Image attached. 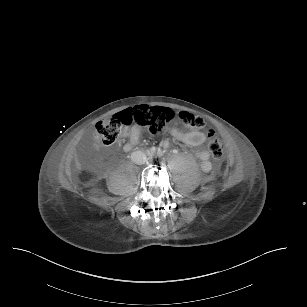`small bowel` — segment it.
<instances>
[{"label": "small bowel", "instance_id": "obj_1", "mask_svg": "<svg viewBox=\"0 0 307 307\" xmlns=\"http://www.w3.org/2000/svg\"><path fill=\"white\" fill-rule=\"evenodd\" d=\"M169 133L176 140L184 144L190 145V146L201 145L202 143H204L206 139L205 134L198 130H191V131L185 132L179 129L171 128L169 129ZM127 134L129 136V142L126 144L125 149L130 150L132 147H134L137 144L139 137H140V130L137 127H132V129H130ZM163 146L168 147L169 142L165 141L163 143ZM196 157L202 162L201 164L202 169L205 171L208 170L210 167L209 152L206 150L198 151L196 153Z\"/></svg>", "mask_w": 307, "mask_h": 307}]
</instances>
